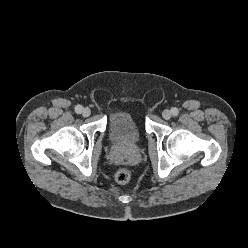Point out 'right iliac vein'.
Listing matches in <instances>:
<instances>
[{"label":"right iliac vein","mask_w":248,"mask_h":248,"mask_svg":"<svg viewBox=\"0 0 248 248\" xmlns=\"http://www.w3.org/2000/svg\"><path fill=\"white\" fill-rule=\"evenodd\" d=\"M90 114H91V110L89 108L86 107L82 110V115L84 117H88Z\"/></svg>","instance_id":"right-iliac-vein-1"}]
</instances>
